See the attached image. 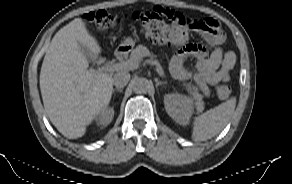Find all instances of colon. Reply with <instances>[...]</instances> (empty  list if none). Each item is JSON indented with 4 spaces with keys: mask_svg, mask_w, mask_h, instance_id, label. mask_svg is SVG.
I'll use <instances>...</instances> for the list:
<instances>
[{
    "mask_svg": "<svg viewBox=\"0 0 292 184\" xmlns=\"http://www.w3.org/2000/svg\"><path fill=\"white\" fill-rule=\"evenodd\" d=\"M85 19L99 30L107 31L121 25L125 21L137 23L144 35L158 44L177 46L183 43L185 29L196 28L201 25L198 18L191 17L169 8H154L149 11H134L131 14L119 16L103 10L86 14ZM219 99L229 97L231 90L226 84H219L215 88Z\"/></svg>",
    "mask_w": 292,
    "mask_h": 184,
    "instance_id": "colon-1",
    "label": "colon"
}]
</instances>
